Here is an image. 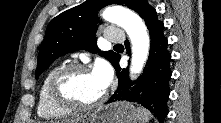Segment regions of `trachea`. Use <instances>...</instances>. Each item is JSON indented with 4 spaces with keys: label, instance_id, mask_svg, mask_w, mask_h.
Returning a JSON list of instances; mask_svg holds the SVG:
<instances>
[{
    "label": "trachea",
    "instance_id": "trachea-1",
    "mask_svg": "<svg viewBox=\"0 0 221 123\" xmlns=\"http://www.w3.org/2000/svg\"><path fill=\"white\" fill-rule=\"evenodd\" d=\"M115 46H122L121 44H116Z\"/></svg>",
    "mask_w": 221,
    "mask_h": 123
}]
</instances>
